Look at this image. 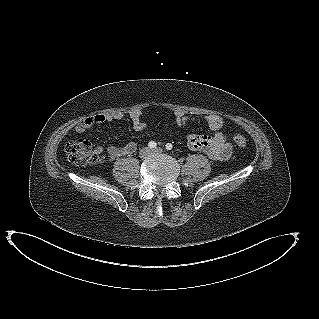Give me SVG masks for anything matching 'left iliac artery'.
<instances>
[{
  "mask_svg": "<svg viewBox=\"0 0 319 319\" xmlns=\"http://www.w3.org/2000/svg\"><path fill=\"white\" fill-rule=\"evenodd\" d=\"M173 148L172 144L171 143H167L166 144V149L167 150H171Z\"/></svg>",
  "mask_w": 319,
  "mask_h": 319,
  "instance_id": "obj_1",
  "label": "left iliac artery"
}]
</instances>
